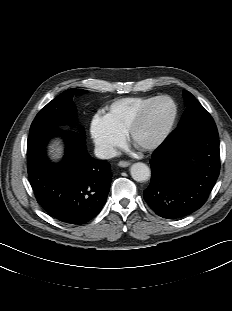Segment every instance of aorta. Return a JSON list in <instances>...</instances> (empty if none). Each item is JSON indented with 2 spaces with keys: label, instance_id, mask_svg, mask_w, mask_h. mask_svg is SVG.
<instances>
[{
  "label": "aorta",
  "instance_id": "obj_1",
  "mask_svg": "<svg viewBox=\"0 0 232 311\" xmlns=\"http://www.w3.org/2000/svg\"><path fill=\"white\" fill-rule=\"evenodd\" d=\"M130 173L137 182L147 181L151 176L150 168L142 162L134 163L130 168Z\"/></svg>",
  "mask_w": 232,
  "mask_h": 311
}]
</instances>
